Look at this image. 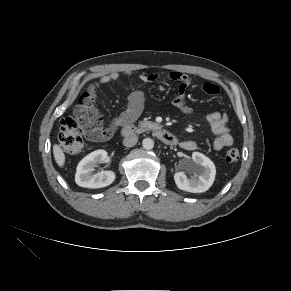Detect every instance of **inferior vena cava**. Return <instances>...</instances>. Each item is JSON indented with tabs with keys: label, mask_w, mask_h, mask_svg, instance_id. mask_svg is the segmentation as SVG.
Returning a JSON list of instances; mask_svg holds the SVG:
<instances>
[{
	"label": "inferior vena cava",
	"mask_w": 291,
	"mask_h": 291,
	"mask_svg": "<svg viewBox=\"0 0 291 291\" xmlns=\"http://www.w3.org/2000/svg\"><path fill=\"white\" fill-rule=\"evenodd\" d=\"M138 142V137L135 134L129 135L123 140V145L126 147H132Z\"/></svg>",
	"instance_id": "602c4592"
}]
</instances>
